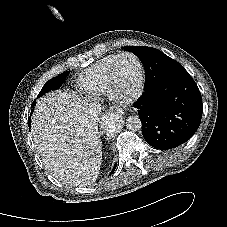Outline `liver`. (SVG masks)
Here are the masks:
<instances>
[{
	"instance_id": "6515ba94",
	"label": "liver",
	"mask_w": 227,
	"mask_h": 227,
	"mask_svg": "<svg viewBox=\"0 0 227 227\" xmlns=\"http://www.w3.org/2000/svg\"><path fill=\"white\" fill-rule=\"evenodd\" d=\"M90 104L61 90L47 93L32 116V135L45 167L65 184H93L100 172L102 142Z\"/></svg>"
}]
</instances>
